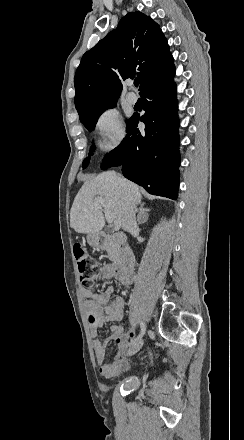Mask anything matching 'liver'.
Listing matches in <instances>:
<instances>
[{"label": "liver", "instance_id": "1", "mask_svg": "<svg viewBox=\"0 0 244 440\" xmlns=\"http://www.w3.org/2000/svg\"><path fill=\"white\" fill-rule=\"evenodd\" d=\"M99 198L105 200L107 210L113 214L114 230L118 232L127 202H133L135 206L140 204L142 196L136 184L120 178L116 172H102L93 180H86L75 196L70 212V226L78 234H96L103 230V208L96 202Z\"/></svg>", "mask_w": 244, "mask_h": 440}]
</instances>
